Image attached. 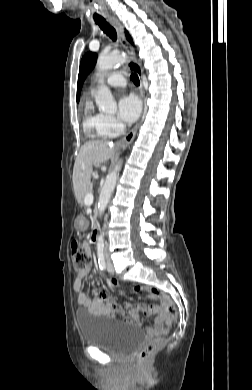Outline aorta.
<instances>
[{
    "label": "aorta",
    "instance_id": "obj_1",
    "mask_svg": "<svg viewBox=\"0 0 252 390\" xmlns=\"http://www.w3.org/2000/svg\"><path fill=\"white\" fill-rule=\"evenodd\" d=\"M126 61V57L121 54H101L97 60V69L99 73H104L116 65L121 64ZM99 88L97 95L95 96V101L97 106L101 111L104 112H114L117 109L116 101L114 100L110 89L104 84V78L102 75H99ZM122 161L120 160L114 167L113 171L107 176L105 183L100 192L99 201H98V211L102 215L107 207V204L110 200L111 194L114 191L116 186L118 173L121 169ZM98 243H103V236H98Z\"/></svg>",
    "mask_w": 252,
    "mask_h": 390
}]
</instances>
